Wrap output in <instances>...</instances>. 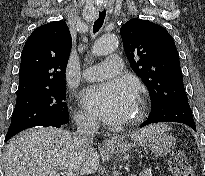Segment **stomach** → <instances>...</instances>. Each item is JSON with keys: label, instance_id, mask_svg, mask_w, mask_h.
Segmentation results:
<instances>
[{"label": "stomach", "instance_id": "stomach-1", "mask_svg": "<svg viewBox=\"0 0 205 176\" xmlns=\"http://www.w3.org/2000/svg\"><path fill=\"white\" fill-rule=\"evenodd\" d=\"M152 131L141 141H135L137 145L150 149L156 157H163L170 153L175 146V138L166 133L165 125H154ZM136 143H128L123 140L115 141V145L110 149L111 153H125Z\"/></svg>", "mask_w": 205, "mask_h": 176}]
</instances>
